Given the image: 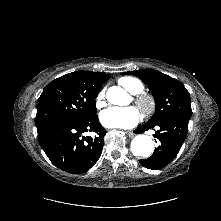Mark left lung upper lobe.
<instances>
[{"label":"left lung upper lobe","instance_id":"obj_1","mask_svg":"<svg viewBox=\"0 0 221 221\" xmlns=\"http://www.w3.org/2000/svg\"><path fill=\"white\" fill-rule=\"evenodd\" d=\"M122 75L137 76L152 92L156 110L147 124H157L170 118H191L190 94L178 80L153 69L124 72Z\"/></svg>","mask_w":221,"mask_h":221}]
</instances>
